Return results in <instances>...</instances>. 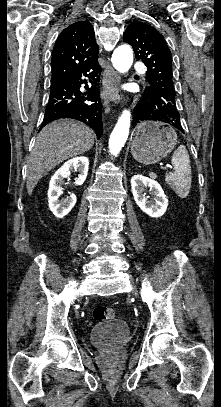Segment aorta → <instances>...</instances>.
<instances>
[{
    "mask_svg": "<svg viewBox=\"0 0 221 407\" xmlns=\"http://www.w3.org/2000/svg\"><path fill=\"white\" fill-rule=\"evenodd\" d=\"M133 63V52L129 45L123 44L115 49L112 55V64L120 72H127ZM131 114L129 110H124L119 117L109 139V151L117 155L128 138L130 129Z\"/></svg>",
    "mask_w": 221,
    "mask_h": 407,
    "instance_id": "obj_1",
    "label": "aorta"
}]
</instances>
